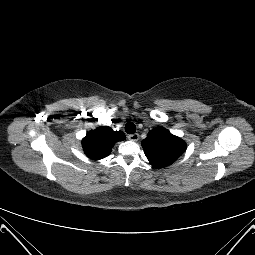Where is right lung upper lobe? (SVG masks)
I'll return each mask as SVG.
<instances>
[{
    "label": "right lung upper lobe",
    "instance_id": "obj_1",
    "mask_svg": "<svg viewBox=\"0 0 255 255\" xmlns=\"http://www.w3.org/2000/svg\"><path fill=\"white\" fill-rule=\"evenodd\" d=\"M124 139L122 131H113L110 127L102 126L87 133L82 140V147L88 157L100 160L110 154L116 142Z\"/></svg>",
    "mask_w": 255,
    "mask_h": 255
}]
</instances>
